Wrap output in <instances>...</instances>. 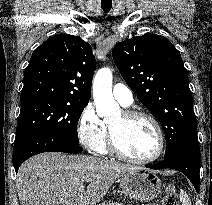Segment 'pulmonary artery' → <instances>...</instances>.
<instances>
[{
  "label": "pulmonary artery",
  "mask_w": 212,
  "mask_h": 205,
  "mask_svg": "<svg viewBox=\"0 0 212 205\" xmlns=\"http://www.w3.org/2000/svg\"><path fill=\"white\" fill-rule=\"evenodd\" d=\"M114 98L123 106H129L133 102L131 90L124 84L117 83L112 88Z\"/></svg>",
  "instance_id": "obj_1"
}]
</instances>
